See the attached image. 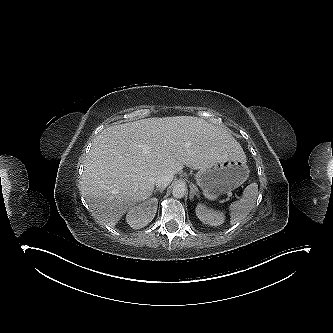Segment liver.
Masks as SVG:
<instances>
[{
  "label": "liver",
  "mask_w": 333,
  "mask_h": 333,
  "mask_svg": "<svg viewBox=\"0 0 333 333\" xmlns=\"http://www.w3.org/2000/svg\"><path fill=\"white\" fill-rule=\"evenodd\" d=\"M238 158L245 159V154L232 135L202 118L141 119L110 126L95 138L81 192L93 216L114 227L130 208L152 195L159 175Z\"/></svg>",
  "instance_id": "obj_1"
}]
</instances>
